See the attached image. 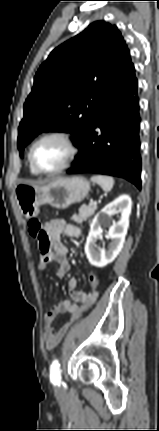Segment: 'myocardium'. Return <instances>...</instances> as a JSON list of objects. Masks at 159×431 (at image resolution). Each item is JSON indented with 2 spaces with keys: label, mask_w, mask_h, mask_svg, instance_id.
<instances>
[{
  "label": "myocardium",
  "mask_w": 159,
  "mask_h": 431,
  "mask_svg": "<svg viewBox=\"0 0 159 431\" xmlns=\"http://www.w3.org/2000/svg\"><path fill=\"white\" fill-rule=\"evenodd\" d=\"M47 139H59L62 142L65 143V145L68 148V157L65 160V162L59 166L56 169L53 170H42L40 168H38L33 160V151L35 149V147L42 141L47 140ZM78 154V147L77 144L75 142V140L73 139V137L71 136V134L64 132V131H52V132H48L43 134L42 136H40L39 138H37L32 145L30 146L29 152H28V161L30 166L33 168V170L38 173V174H42V175H53V174H57L60 173L64 170H66L75 160V158L77 157Z\"/></svg>",
  "instance_id": "1"
}]
</instances>
